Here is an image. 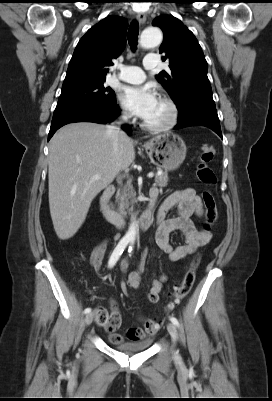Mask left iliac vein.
Wrapping results in <instances>:
<instances>
[{
    "label": "left iliac vein",
    "instance_id": "obj_1",
    "mask_svg": "<svg viewBox=\"0 0 272 401\" xmlns=\"http://www.w3.org/2000/svg\"><path fill=\"white\" fill-rule=\"evenodd\" d=\"M167 330L169 334L171 335L173 341L175 342L177 340V329L176 326L173 323H168L167 324Z\"/></svg>",
    "mask_w": 272,
    "mask_h": 401
}]
</instances>
